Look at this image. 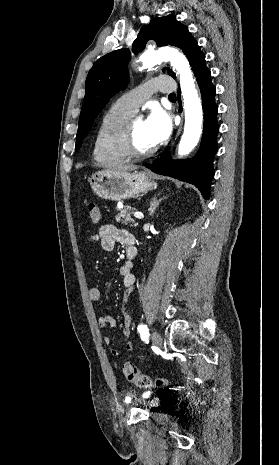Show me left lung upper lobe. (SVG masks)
Here are the masks:
<instances>
[{"mask_svg":"<svg viewBox=\"0 0 279 465\" xmlns=\"http://www.w3.org/2000/svg\"><path fill=\"white\" fill-rule=\"evenodd\" d=\"M150 39H153L158 46L179 47L186 54L192 67L203 54L188 28L173 15L155 18L149 25L142 27L133 42L132 52L134 54L141 52ZM129 58L128 49H119L98 59L91 68L86 79V95L80 113L76 151L80 148L98 113L113 95L126 87ZM167 72L173 78L176 77L172 70L167 68Z\"/></svg>","mask_w":279,"mask_h":465,"instance_id":"left-lung-upper-lobe-1","label":"left lung upper lobe"}]
</instances>
